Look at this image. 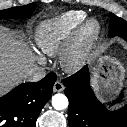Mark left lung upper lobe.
Masks as SVG:
<instances>
[{"label":"left lung upper lobe","instance_id":"left-lung-upper-lobe-1","mask_svg":"<svg viewBox=\"0 0 127 127\" xmlns=\"http://www.w3.org/2000/svg\"><path fill=\"white\" fill-rule=\"evenodd\" d=\"M109 36H122L127 34V22L113 13H110Z\"/></svg>","mask_w":127,"mask_h":127}]
</instances>
